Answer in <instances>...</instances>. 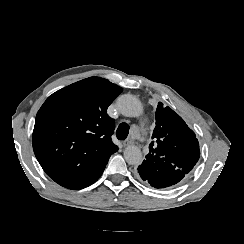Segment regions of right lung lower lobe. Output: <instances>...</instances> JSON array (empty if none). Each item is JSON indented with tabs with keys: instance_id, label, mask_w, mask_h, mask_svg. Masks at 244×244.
<instances>
[{
	"instance_id": "obj_1",
	"label": "right lung lower lobe",
	"mask_w": 244,
	"mask_h": 244,
	"mask_svg": "<svg viewBox=\"0 0 244 244\" xmlns=\"http://www.w3.org/2000/svg\"><path fill=\"white\" fill-rule=\"evenodd\" d=\"M108 159H105L103 163L98 164V166L92 172H90L87 177L81 176V174H77V175H72L69 177L62 178L55 182L69 189L78 190L87 187L93 184L101 176L108 162Z\"/></svg>"
}]
</instances>
